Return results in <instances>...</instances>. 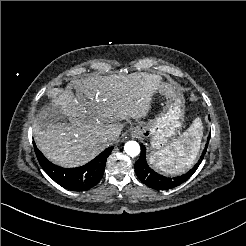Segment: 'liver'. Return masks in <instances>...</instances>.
I'll list each match as a JSON object with an SVG mask.
<instances>
[{
  "label": "liver",
  "mask_w": 246,
  "mask_h": 246,
  "mask_svg": "<svg viewBox=\"0 0 246 246\" xmlns=\"http://www.w3.org/2000/svg\"><path fill=\"white\" fill-rule=\"evenodd\" d=\"M163 86L154 75L80 79L74 84L76 97L66 87L52 100L51 106L58 108L69 123L56 122L57 118L48 120L40 111L33 125L35 142L54 163L80 166L118 138L123 127L116 121L146 117L151 93ZM110 134L116 137L108 138Z\"/></svg>",
  "instance_id": "6515ba94"
}]
</instances>
